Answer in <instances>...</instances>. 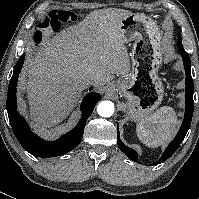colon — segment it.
Listing matches in <instances>:
<instances>
[{"instance_id":"1","label":"colon","mask_w":199,"mask_h":199,"mask_svg":"<svg viewBox=\"0 0 199 199\" xmlns=\"http://www.w3.org/2000/svg\"><path fill=\"white\" fill-rule=\"evenodd\" d=\"M73 13L68 10L51 11L40 24L39 34L42 30H55L66 23L73 21Z\"/></svg>"}]
</instances>
